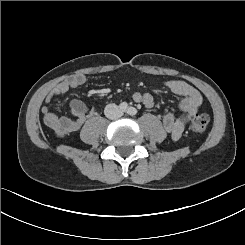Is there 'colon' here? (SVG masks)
I'll list each match as a JSON object with an SVG mask.
<instances>
[{
    "mask_svg": "<svg viewBox=\"0 0 245 245\" xmlns=\"http://www.w3.org/2000/svg\"><path fill=\"white\" fill-rule=\"evenodd\" d=\"M210 122V117L206 113H195L191 120V129L194 132L202 133L204 132Z\"/></svg>",
    "mask_w": 245,
    "mask_h": 245,
    "instance_id": "5ec220e1",
    "label": "colon"
}]
</instances>
